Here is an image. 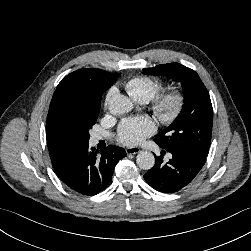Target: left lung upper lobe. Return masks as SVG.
I'll use <instances>...</instances> for the list:
<instances>
[{
    "instance_id": "left-lung-upper-lobe-1",
    "label": "left lung upper lobe",
    "mask_w": 251,
    "mask_h": 251,
    "mask_svg": "<svg viewBox=\"0 0 251 251\" xmlns=\"http://www.w3.org/2000/svg\"><path fill=\"white\" fill-rule=\"evenodd\" d=\"M150 75L168 76L181 82L184 105L174 122L155 138L166 150L189 147L207 155L212 133L213 109L209 93L198 74L179 63L143 69Z\"/></svg>"
}]
</instances>
